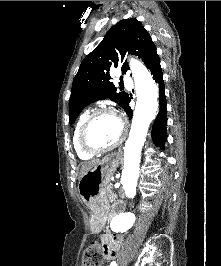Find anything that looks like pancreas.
I'll list each match as a JSON object with an SVG mask.
<instances>
[{
	"label": "pancreas",
	"instance_id": "pancreas-1",
	"mask_svg": "<svg viewBox=\"0 0 221 266\" xmlns=\"http://www.w3.org/2000/svg\"><path fill=\"white\" fill-rule=\"evenodd\" d=\"M112 188H113V185H112L111 183H109V184L106 186V195H107V197H108V199H109L110 202L115 201L116 198H117V195H116V193H114V192L112 191Z\"/></svg>",
	"mask_w": 221,
	"mask_h": 266
}]
</instances>
